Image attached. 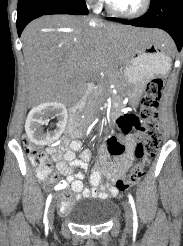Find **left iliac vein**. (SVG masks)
Here are the masks:
<instances>
[{
    "instance_id": "4c4485c4",
    "label": "left iliac vein",
    "mask_w": 183,
    "mask_h": 246,
    "mask_svg": "<svg viewBox=\"0 0 183 246\" xmlns=\"http://www.w3.org/2000/svg\"><path fill=\"white\" fill-rule=\"evenodd\" d=\"M124 211H125L126 227L128 230H130L133 226V212L129 202H125Z\"/></svg>"
}]
</instances>
